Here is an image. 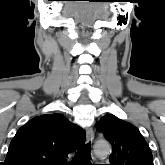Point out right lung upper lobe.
I'll return each instance as SVG.
<instances>
[{"mask_svg": "<svg viewBox=\"0 0 165 165\" xmlns=\"http://www.w3.org/2000/svg\"><path fill=\"white\" fill-rule=\"evenodd\" d=\"M85 138L83 129L63 115H41L18 130L3 165H62Z\"/></svg>", "mask_w": 165, "mask_h": 165, "instance_id": "obj_1", "label": "right lung upper lobe"}]
</instances>
